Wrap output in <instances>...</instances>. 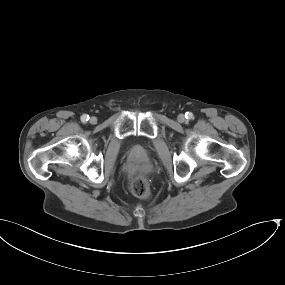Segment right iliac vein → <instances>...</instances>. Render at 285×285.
<instances>
[{"label": "right iliac vein", "mask_w": 285, "mask_h": 285, "mask_svg": "<svg viewBox=\"0 0 285 285\" xmlns=\"http://www.w3.org/2000/svg\"><path fill=\"white\" fill-rule=\"evenodd\" d=\"M89 122H90V124H96V122H97L96 117H91Z\"/></svg>", "instance_id": "right-iliac-vein-1"}]
</instances>
